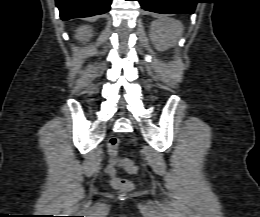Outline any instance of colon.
Here are the masks:
<instances>
[{
	"instance_id": "1",
	"label": "colon",
	"mask_w": 260,
	"mask_h": 217,
	"mask_svg": "<svg viewBox=\"0 0 260 217\" xmlns=\"http://www.w3.org/2000/svg\"><path fill=\"white\" fill-rule=\"evenodd\" d=\"M110 146L115 148L119 145V140L117 138H112L109 142ZM121 165L123 168L131 174L137 173V165L136 163L130 159V158H123L120 160ZM112 185L116 189L121 190H129L130 189V183L127 179L121 178V177H115L112 179Z\"/></svg>"
}]
</instances>
